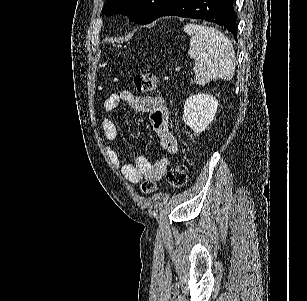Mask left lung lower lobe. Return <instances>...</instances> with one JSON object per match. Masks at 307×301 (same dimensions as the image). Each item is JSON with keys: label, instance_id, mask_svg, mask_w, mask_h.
<instances>
[{"label": "left lung lower lobe", "instance_id": "obj_1", "mask_svg": "<svg viewBox=\"0 0 307 301\" xmlns=\"http://www.w3.org/2000/svg\"><path fill=\"white\" fill-rule=\"evenodd\" d=\"M171 15L204 19L223 25L237 40V16L234 13L233 0H175L159 17Z\"/></svg>", "mask_w": 307, "mask_h": 301}]
</instances>
